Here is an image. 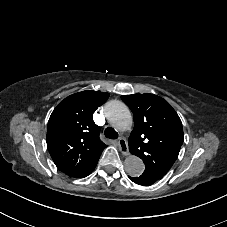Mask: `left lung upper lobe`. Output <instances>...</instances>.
I'll return each mask as SVG.
<instances>
[{
    "label": "left lung upper lobe",
    "instance_id": "5c2ea615",
    "mask_svg": "<svg viewBox=\"0 0 227 227\" xmlns=\"http://www.w3.org/2000/svg\"><path fill=\"white\" fill-rule=\"evenodd\" d=\"M121 99L134 117L130 153L143 160L144 172L162 178L177 159L184 140L178 114L166 100L154 94L123 95Z\"/></svg>",
    "mask_w": 227,
    "mask_h": 227
}]
</instances>
